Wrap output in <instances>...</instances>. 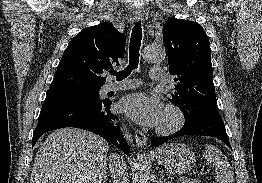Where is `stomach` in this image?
Segmentation results:
<instances>
[{"label":"stomach","instance_id":"1","mask_svg":"<svg viewBox=\"0 0 262 183\" xmlns=\"http://www.w3.org/2000/svg\"><path fill=\"white\" fill-rule=\"evenodd\" d=\"M156 159L169 172L186 173L195 163V155L185 144L167 143L156 150Z\"/></svg>","mask_w":262,"mask_h":183}]
</instances>
